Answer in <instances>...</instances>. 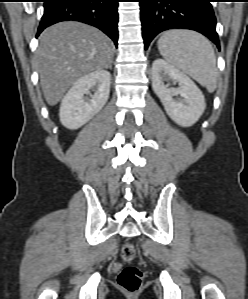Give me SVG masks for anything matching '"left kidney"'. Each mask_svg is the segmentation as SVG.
<instances>
[{
	"instance_id": "obj_1",
	"label": "left kidney",
	"mask_w": 248,
	"mask_h": 299,
	"mask_svg": "<svg viewBox=\"0 0 248 299\" xmlns=\"http://www.w3.org/2000/svg\"><path fill=\"white\" fill-rule=\"evenodd\" d=\"M167 79L178 82L179 87L169 88L164 84ZM152 88L168 116L182 127L195 124L206 108L204 95L197 85L162 59H156L152 64ZM178 95L182 99L175 100L174 97Z\"/></svg>"
}]
</instances>
